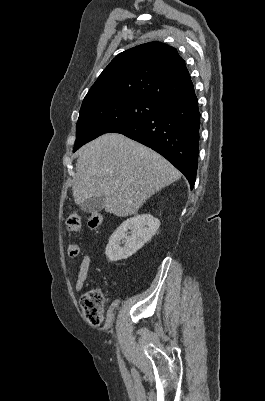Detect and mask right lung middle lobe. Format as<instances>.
<instances>
[{
  "label": "right lung middle lobe",
  "instance_id": "1",
  "mask_svg": "<svg viewBox=\"0 0 265 401\" xmlns=\"http://www.w3.org/2000/svg\"><path fill=\"white\" fill-rule=\"evenodd\" d=\"M159 106V102L138 98L103 100L81 106L73 151L102 134L154 113Z\"/></svg>",
  "mask_w": 265,
  "mask_h": 401
}]
</instances>
